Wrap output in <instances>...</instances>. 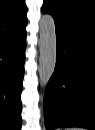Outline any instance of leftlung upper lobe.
Returning <instances> with one entry per match:
<instances>
[{
	"mask_svg": "<svg viewBox=\"0 0 95 130\" xmlns=\"http://www.w3.org/2000/svg\"><path fill=\"white\" fill-rule=\"evenodd\" d=\"M43 13H50L55 25H70L95 36L94 0H44Z\"/></svg>",
	"mask_w": 95,
	"mask_h": 130,
	"instance_id": "obj_1",
	"label": "left lung upper lobe"
}]
</instances>
